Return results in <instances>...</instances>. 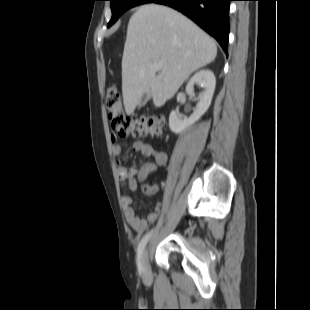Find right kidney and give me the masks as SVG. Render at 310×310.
<instances>
[{
	"label": "right kidney",
	"instance_id": "ca27d5eb",
	"mask_svg": "<svg viewBox=\"0 0 310 310\" xmlns=\"http://www.w3.org/2000/svg\"><path fill=\"white\" fill-rule=\"evenodd\" d=\"M204 88V91L196 98L198 100L196 109L189 118H181L179 114L172 111L169 116V128L179 134L197 122L201 116L208 110L215 91L216 78L214 73L209 69H202L196 72L186 86V93L190 97H195L194 85Z\"/></svg>",
	"mask_w": 310,
	"mask_h": 310
}]
</instances>
